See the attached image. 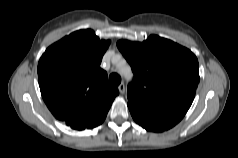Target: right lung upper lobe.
I'll return each instance as SVG.
<instances>
[{
  "label": "right lung upper lobe",
  "instance_id": "obj_1",
  "mask_svg": "<svg viewBox=\"0 0 238 158\" xmlns=\"http://www.w3.org/2000/svg\"><path fill=\"white\" fill-rule=\"evenodd\" d=\"M110 44L91 29L79 30L46 49L38 63L44 102L61 121L106 114L118 95L100 68Z\"/></svg>",
  "mask_w": 238,
  "mask_h": 158
}]
</instances>
